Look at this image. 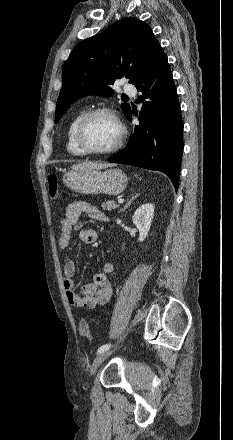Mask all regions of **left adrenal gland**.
Returning <instances> with one entry per match:
<instances>
[{"label":"left adrenal gland","mask_w":233,"mask_h":440,"mask_svg":"<svg viewBox=\"0 0 233 440\" xmlns=\"http://www.w3.org/2000/svg\"><path fill=\"white\" fill-rule=\"evenodd\" d=\"M139 195H140L139 193H136L133 197H131V199L126 203L124 208L120 210V212H122L125 209H127Z\"/></svg>","instance_id":"1"}]
</instances>
